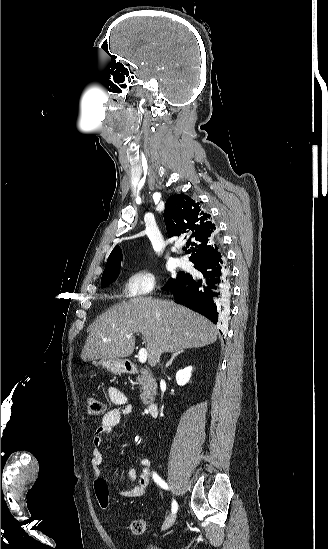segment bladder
Wrapping results in <instances>:
<instances>
[{"mask_svg": "<svg viewBox=\"0 0 328 549\" xmlns=\"http://www.w3.org/2000/svg\"><path fill=\"white\" fill-rule=\"evenodd\" d=\"M138 545H139V546H141V544H140V543H139ZM158 549H167V548H158Z\"/></svg>", "mask_w": 328, "mask_h": 549, "instance_id": "1", "label": "bladder"}]
</instances>
